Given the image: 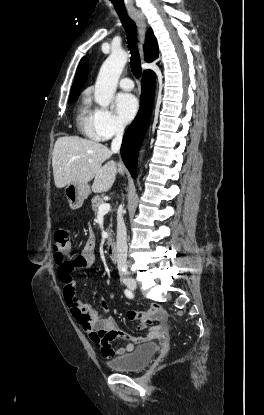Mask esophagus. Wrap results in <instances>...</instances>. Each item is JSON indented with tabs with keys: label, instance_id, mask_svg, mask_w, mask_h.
<instances>
[{
	"label": "esophagus",
	"instance_id": "esophagus-1",
	"mask_svg": "<svg viewBox=\"0 0 264 415\" xmlns=\"http://www.w3.org/2000/svg\"><path fill=\"white\" fill-rule=\"evenodd\" d=\"M130 16L134 19L138 26L139 30V52L141 57L143 58L144 51H143V44L145 40V33H146V22L144 15L139 11L129 12Z\"/></svg>",
	"mask_w": 264,
	"mask_h": 415
}]
</instances>
